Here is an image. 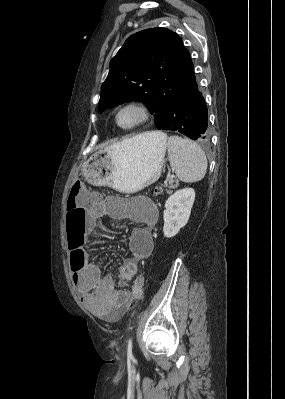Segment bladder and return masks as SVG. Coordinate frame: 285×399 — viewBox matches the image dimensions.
I'll return each mask as SVG.
<instances>
[{
    "instance_id": "1",
    "label": "bladder",
    "mask_w": 285,
    "mask_h": 399,
    "mask_svg": "<svg viewBox=\"0 0 285 399\" xmlns=\"http://www.w3.org/2000/svg\"><path fill=\"white\" fill-rule=\"evenodd\" d=\"M130 199L138 200L151 213L156 211V206H155L154 202L147 197L138 196V197H133Z\"/></svg>"
}]
</instances>
